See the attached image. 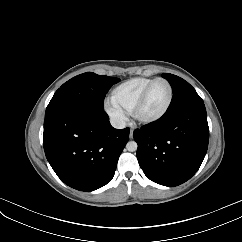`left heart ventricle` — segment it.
I'll return each instance as SVG.
<instances>
[{
    "label": "left heart ventricle",
    "instance_id": "left-heart-ventricle-1",
    "mask_svg": "<svg viewBox=\"0 0 242 242\" xmlns=\"http://www.w3.org/2000/svg\"><path fill=\"white\" fill-rule=\"evenodd\" d=\"M168 99V85L163 81L155 83L150 89L138 115L141 118H153L157 116L166 106Z\"/></svg>",
    "mask_w": 242,
    "mask_h": 242
}]
</instances>
